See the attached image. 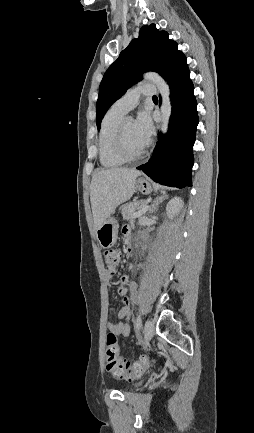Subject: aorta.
Masks as SVG:
<instances>
[{
    "label": "aorta",
    "instance_id": "aorta-1",
    "mask_svg": "<svg viewBox=\"0 0 254 433\" xmlns=\"http://www.w3.org/2000/svg\"><path fill=\"white\" fill-rule=\"evenodd\" d=\"M144 79L151 81L157 87L160 95H161V115H162V123L160 130L162 133H167L169 128V121L172 112V105L170 101V88L166 81L155 72H148L144 75Z\"/></svg>",
    "mask_w": 254,
    "mask_h": 433
}]
</instances>
